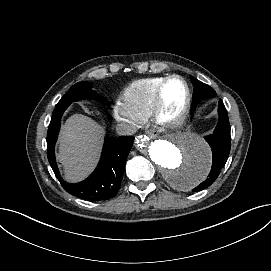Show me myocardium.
I'll return each mask as SVG.
<instances>
[{"label":"myocardium","instance_id":"1","mask_svg":"<svg viewBox=\"0 0 271 271\" xmlns=\"http://www.w3.org/2000/svg\"><path fill=\"white\" fill-rule=\"evenodd\" d=\"M180 80L186 87V97L182 104L174 109H170L165 99V92L168 84L172 80ZM192 105V90L189 82L181 75L173 74L167 76L161 83L155 94V104L153 116L157 123L168 127L180 125L187 117Z\"/></svg>","mask_w":271,"mask_h":271}]
</instances>
